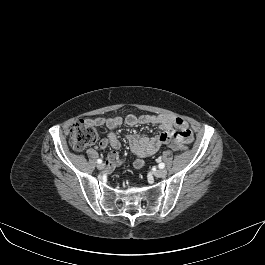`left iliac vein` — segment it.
Returning a JSON list of instances; mask_svg holds the SVG:
<instances>
[{
  "label": "left iliac vein",
  "mask_w": 265,
  "mask_h": 265,
  "mask_svg": "<svg viewBox=\"0 0 265 265\" xmlns=\"http://www.w3.org/2000/svg\"><path fill=\"white\" fill-rule=\"evenodd\" d=\"M167 171L165 169H158L154 172V176L157 178H162L164 176H166Z\"/></svg>",
  "instance_id": "1"
}]
</instances>
